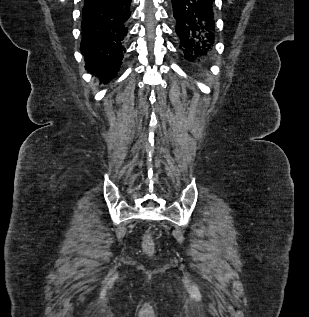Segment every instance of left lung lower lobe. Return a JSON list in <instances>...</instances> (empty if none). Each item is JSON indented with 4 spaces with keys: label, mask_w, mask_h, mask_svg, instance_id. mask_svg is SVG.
I'll return each mask as SVG.
<instances>
[{
    "label": "left lung lower lobe",
    "mask_w": 309,
    "mask_h": 317,
    "mask_svg": "<svg viewBox=\"0 0 309 317\" xmlns=\"http://www.w3.org/2000/svg\"><path fill=\"white\" fill-rule=\"evenodd\" d=\"M172 7L185 60L206 64L216 43L214 0H172Z\"/></svg>",
    "instance_id": "left-lung-lower-lobe-1"
}]
</instances>
